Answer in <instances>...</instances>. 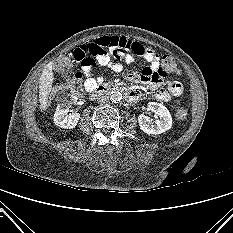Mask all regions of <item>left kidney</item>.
<instances>
[{
    "label": "left kidney",
    "instance_id": "1",
    "mask_svg": "<svg viewBox=\"0 0 233 233\" xmlns=\"http://www.w3.org/2000/svg\"><path fill=\"white\" fill-rule=\"evenodd\" d=\"M148 109L154 112L159 119L152 121L148 116L140 114L138 116V123L143 132L158 135L171 128L172 117L169 110L164 105L157 102H149Z\"/></svg>",
    "mask_w": 233,
    "mask_h": 233
}]
</instances>
